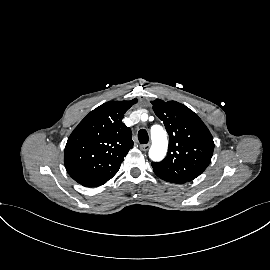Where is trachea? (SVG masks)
<instances>
[{
	"mask_svg": "<svg viewBox=\"0 0 270 270\" xmlns=\"http://www.w3.org/2000/svg\"><path fill=\"white\" fill-rule=\"evenodd\" d=\"M138 140L141 144H147L149 141L148 133L145 129H141L138 132Z\"/></svg>",
	"mask_w": 270,
	"mask_h": 270,
	"instance_id": "obj_1",
	"label": "trachea"
}]
</instances>
